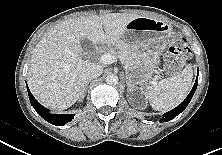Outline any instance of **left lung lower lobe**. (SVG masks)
Wrapping results in <instances>:
<instances>
[{"mask_svg":"<svg viewBox=\"0 0 222 155\" xmlns=\"http://www.w3.org/2000/svg\"><path fill=\"white\" fill-rule=\"evenodd\" d=\"M197 84H198V76L196 78L195 84L191 90V92L189 93V95L186 97V99L176 108H174L171 111H168L167 113H165L163 115V117L161 118L160 122H167L172 120L173 118H175L177 115H179L182 111H184V109L187 107V105L189 104L190 100L192 99L195 90L197 88Z\"/></svg>","mask_w":222,"mask_h":155,"instance_id":"obj_1","label":"left lung lower lobe"}]
</instances>
